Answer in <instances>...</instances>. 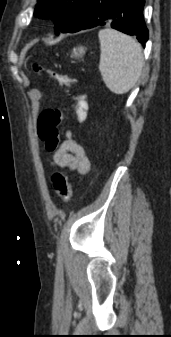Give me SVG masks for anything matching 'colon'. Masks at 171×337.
<instances>
[{
	"mask_svg": "<svg viewBox=\"0 0 171 337\" xmlns=\"http://www.w3.org/2000/svg\"><path fill=\"white\" fill-rule=\"evenodd\" d=\"M36 71L41 70L38 65H34ZM48 76L58 87H64L69 90L72 107L70 111L61 108H48L43 110L37 120V134L45 148L49 152L57 150L60 143L59 127L64 120L71 114L79 121H83L87 112V99L82 87L66 75L47 71ZM53 187L57 196L64 202H68L72 194V185L68 175L58 172L52 177Z\"/></svg>",
	"mask_w": 171,
	"mask_h": 337,
	"instance_id": "obj_1",
	"label": "colon"
}]
</instances>
